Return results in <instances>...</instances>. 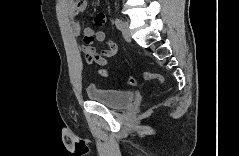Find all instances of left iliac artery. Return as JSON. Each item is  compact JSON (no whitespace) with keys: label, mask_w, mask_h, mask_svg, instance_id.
<instances>
[{"label":"left iliac artery","mask_w":239,"mask_h":156,"mask_svg":"<svg viewBox=\"0 0 239 156\" xmlns=\"http://www.w3.org/2000/svg\"><path fill=\"white\" fill-rule=\"evenodd\" d=\"M115 25L119 30L122 29V20L120 18H115Z\"/></svg>","instance_id":"1"}]
</instances>
